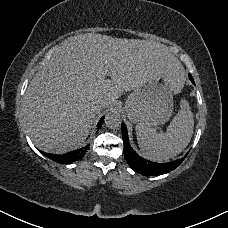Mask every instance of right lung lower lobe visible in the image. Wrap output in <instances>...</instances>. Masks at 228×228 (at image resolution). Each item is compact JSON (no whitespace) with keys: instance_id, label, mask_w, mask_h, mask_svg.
<instances>
[{"instance_id":"1","label":"right lung lower lobe","mask_w":228,"mask_h":228,"mask_svg":"<svg viewBox=\"0 0 228 228\" xmlns=\"http://www.w3.org/2000/svg\"><path fill=\"white\" fill-rule=\"evenodd\" d=\"M103 120H104V117H102L100 119V121L98 122L97 130H99L101 128V126L103 124ZM89 147H90L89 145H86L83 148H80V149H77V150L62 154V155H53L50 153H44L41 151L40 152L57 163L66 164V163H70V162L81 159L85 155V153L87 152Z\"/></svg>"}]
</instances>
